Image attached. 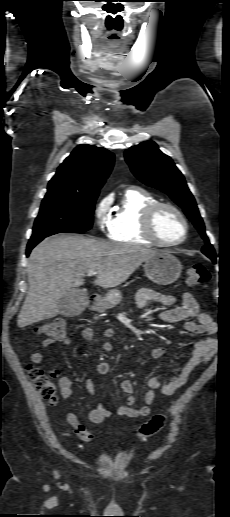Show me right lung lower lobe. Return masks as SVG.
<instances>
[{
    "label": "right lung lower lobe",
    "instance_id": "1",
    "mask_svg": "<svg viewBox=\"0 0 230 517\" xmlns=\"http://www.w3.org/2000/svg\"><path fill=\"white\" fill-rule=\"evenodd\" d=\"M43 239H39V240H34V241H29L28 245H27V252H26V256H29L30 254V251L40 242L42 241Z\"/></svg>",
    "mask_w": 230,
    "mask_h": 517
}]
</instances>
